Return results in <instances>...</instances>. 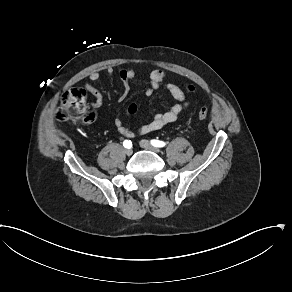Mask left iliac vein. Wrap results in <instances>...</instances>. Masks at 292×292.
<instances>
[{
    "instance_id": "obj_1",
    "label": "left iliac vein",
    "mask_w": 292,
    "mask_h": 292,
    "mask_svg": "<svg viewBox=\"0 0 292 292\" xmlns=\"http://www.w3.org/2000/svg\"><path fill=\"white\" fill-rule=\"evenodd\" d=\"M140 146L146 150L153 151L155 153H159L160 150L156 147H154L148 140H141Z\"/></svg>"
}]
</instances>
